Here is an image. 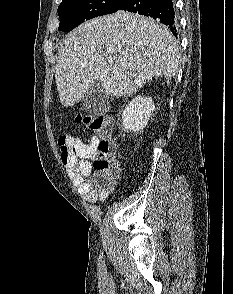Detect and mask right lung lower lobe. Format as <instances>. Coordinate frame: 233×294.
Segmentation results:
<instances>
[{"instance_id":"98d812e1","label":"right lung lower lobe","mask_w":233,"mask_h":294,"mask_svg":"<svg viewBox=\"0 0 233 294\" xmlns=\"http://www.w3.org/2000/svg\"><path fill=\"white\" fill-rule=\"evenodd\" d=\"M118 10H125L150 16L167 25L177 36L178 22L176 20L172 0H125Z\"/></svg>"}]
</instances>
